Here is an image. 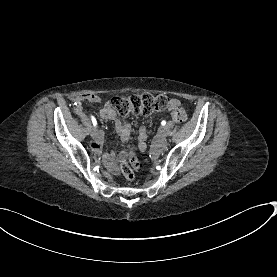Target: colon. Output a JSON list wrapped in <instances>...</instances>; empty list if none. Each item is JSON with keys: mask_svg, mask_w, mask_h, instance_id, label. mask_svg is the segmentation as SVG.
Listing matches in <instances>:
<instances>
[{"mask_svg": "<svg viewBox=\"0 0 277 277\" xmlns=\"http://www.w3.org/2000/svg\"><path fill=\"white\" fill-rule=\"evenodd\" d=\"M110 102L121 117H126L129 114L150 115L167 110L169 98L162 94L144 93L128 97L114 96ZM186 117V112L182 108H176L173 111V118L176 122H184ZM119 159L122 173L128 181H132L133 168L138 166L134 154L129 152L128 157L120 155Z\"/></svg>", "mask_w": 277, "mask_h": 277, "instance_id": "1", "label": "colon"}]
</instances>
